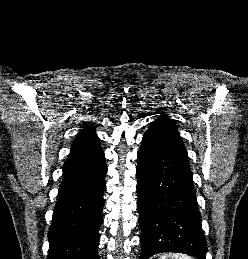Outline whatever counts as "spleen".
<instances>
[{"mask_svg": "<svg viewBox=\"0 0 248 259\" xmlns=\"http://www.w3.org/2000/svg\"><path fill=\"white\" fill-rule=\"evenodd\" d=\"M159 259H194V258L186 254L168 253V254H162Z\"/></svg>", "mask_w": 248, "mask_h": 259, "instance_id": "obj_1", "label": "spleen"}]
</instances>
